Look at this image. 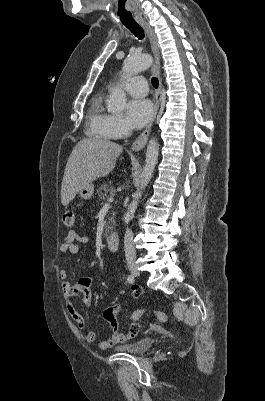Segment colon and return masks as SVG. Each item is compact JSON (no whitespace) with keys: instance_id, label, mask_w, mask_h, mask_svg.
<instances>
[{"instance_id":"5ec220e1","label":"colon","mask_w":265,"mask_h":401,"mask_svg":"<svg viewBox=\"0 0 265 401\" xmlns=\"http://www.w3.org/2000/svg\"><path fill=\"white\" fill-rule=\"evenodd\" d=\"M74 223H75V214H74V212L73 211H66L63 214V224L66 227H72V226H74ZM148 312H151L155 316V318L160 322H165L167 320V316L161 311L149 310V309H146V308L138 309V310L134 311L132 313V315H131L132 325H131L129 331L127 332L128 336L130 338H134L137 335L138 331H139V326L136 323V321L140 317H142L144 314H146Z\"/></svg>"}]
</instances>
